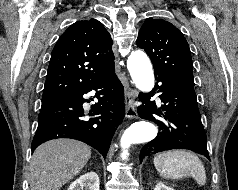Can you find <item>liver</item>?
Returning <instances> with one entry per match:
<instances>
[{"instance_id": "obj_1", "label": "liver", "mask_w": 238, "mask_h": 190, "mask_svg": "<svg viewBox=\"0 0 238 190\" xmlns=\"http://www.w3.org/2000/svg\"><path fill=\"white\" fill-rule=\"evenodd\" d=\"M91 148L74 139H54L33 153L29 169L31 190H60L86 165Z\"/></svg>"}]
</instances>
